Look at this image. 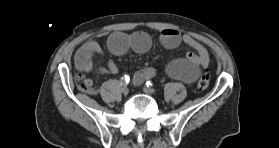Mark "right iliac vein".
Instances as JSON below:
<instances>
[{
  "instance_id": "63e3f726",
  "label": "right iliac vein",
  "mask_w": 279,
  "mask_h": 148,
  "mask_svg": "<svg viewBox=\"0 0 279 148\" xmlns=\"http://www.w3.org/2000/svg\"><path fill=\"white\" fill-rule=\"evenodd\" d=\"M122 93H123L124 95H127V94L129 93V89H128L127 87H124V88L122 89Z\"/></svg>"
}]
</instances>
